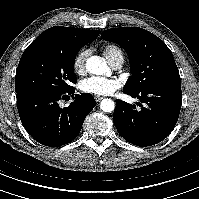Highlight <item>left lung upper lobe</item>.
Segmentation results:
<instances>
[{
	"label": "left lung upper lobe",
	"instance_id": "obj_1",
	"mask_svg": "<svg viewBox=\"0 0 199 199\" xmlns=\"http://www.w3.org/2000/svg\"><path fill=\"white\" fill-rule=\"evenodd\" d=\"M102 39L117 43L128 54L132 76L123 90L140 92L148 87L180 82L172 52L154 34L139 28H112L103 31Z\"/></svg>",
	"mask_w": 199,
	"mask_h": 199
}]
</instances>
